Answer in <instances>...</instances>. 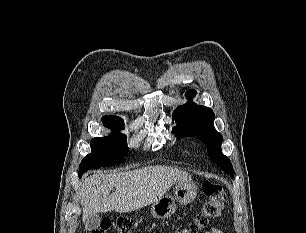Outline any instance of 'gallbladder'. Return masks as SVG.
<instances>
[{"label": "gallbladder", "instance_id": "1", "mask_svg": "<svg viewBox=\"0 0 306 233\" xmlns=\"http://www.w3.org/2000/svg\"><path fill=\"white\" fill-rule=\"evenodd\" d=\"M101 218L98 214H94L89 216L87 219L84 220V225L86 230H93L98 227Z\"/></svg>", "mask_w": 306, "mask_h": 233}]
</instances>
